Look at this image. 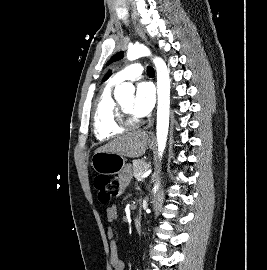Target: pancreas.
Returning <instances> with one entry per match:
<instances>
[{"label":"pancreas","mask_w":267,"mask_h":270,"mask_svg":"<svg viewBox=\"0 0 267 270\" xmlns=\"http://www.w3.org/2000/svg\"><path fill=\"white\" fill-rule=\"evenodd\" d=\"M150 167V163L145 162L144 160H134L133 161V175L139 180L141 174L146 172Z\"/></svg>","instance_id":"obj_1"}]
</instances>
